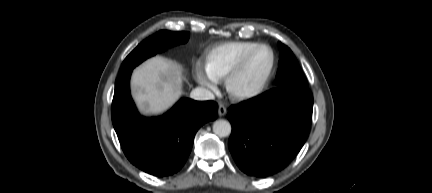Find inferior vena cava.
Instances as JSON below:
<instances>
[{
	"mask_svg": "<svg viewBox=\"0 0 432 193\" xmlns=\"http://www.w3.org/2000/svg\"><path fill=\"white\" fill-rule=\"evenodd\" d=\"M190 97L194 100L205 101V100H213L214 94L203 87H197L193 89L190 93Z\"/></svg>",
	"mask_w": 432,
	"mask_h": 193,
	"instance_id": "obj_1",
	"label": "inferior vena cava"
}]
</instances>
